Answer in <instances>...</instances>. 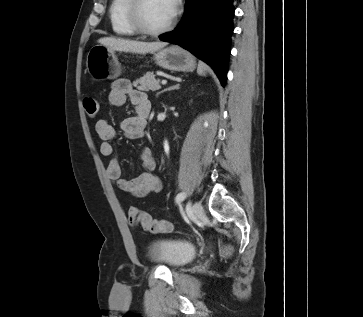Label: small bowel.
<instances>
[{
	"mask_svg": "<svg viewBox=\"0 0 363 317\" xmlns=\"http://www.w3.org/2000/svg\"><path fill=\"white\" fill-rule=\"evenodd\" d=\"M127 99L135 106L136 113L134 116L122 120L120 129L128 139H141L145 135L151 103L144 92L132 87L129 80H116L108 94L109 103L114 106H123ZM95 132L102 140L100 145L101 154L109 158L107 164L108 179L121 191L142 198L162 190V181L154 174L155 159L148 147H142L139 151L143 172L136 178L127 180L123 177L122 166L116 156V150L112 143L117 137L116 129L108 121L98 120L95 123Z\"/></svg>",
	"mask_w": 363,
	"mask_h": 317,
	"instance_id": "1",
	"label": "small bowel"
}]
</instances>
